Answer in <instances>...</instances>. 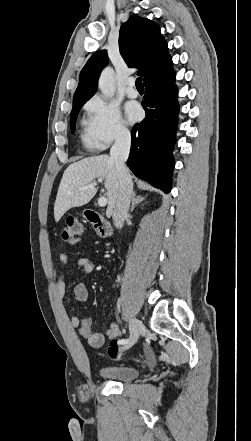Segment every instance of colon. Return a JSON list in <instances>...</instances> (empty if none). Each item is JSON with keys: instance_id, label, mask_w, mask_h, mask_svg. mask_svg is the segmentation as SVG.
<instances>
[{"instance_id": "colon-1", "label": "colon", "mask_w": 251, "mask_h": 441, "mask_svg": "<svg viewBox=\"0 0 251 441\" xmlns=\"http://www.w3.org/2000/svg\"><path fill=\"white\" fill-rule=\"evenodd\" d=\"M83 232L82 223L74 217H69L66 219L62 229L61 238L64 241H72L80 236ZM108 355L112 359H118L120 353L118 351L117 339H113L108 346Z\"/></svg>"}]
</instances>
